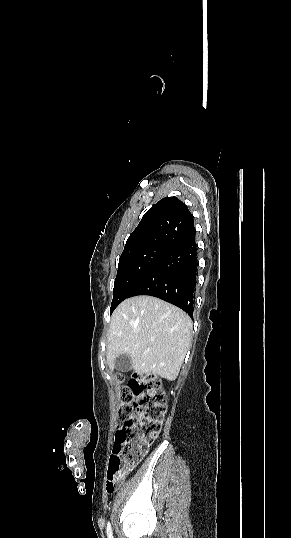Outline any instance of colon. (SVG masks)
Instances as JSON below:
<instances>
[{
  "instance_id": "5ec220e1",
  "label": "colon",
  "mask_w": 291,
  "mask_h": 538,
  "mask_svg": "<svg viewBox=\"0 0 291 538\" xmlns=\"http://www.w3.org/2000/svg\"><path fill=\"white\" fill-rule=\"evenodd\" d=\"M120 423L107 466L106 490L113 493L159 435L166 395L153 376L134 375L120 390Z\"/></svg>"
}]
</instances>
